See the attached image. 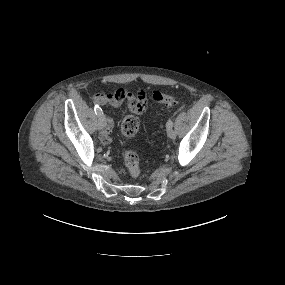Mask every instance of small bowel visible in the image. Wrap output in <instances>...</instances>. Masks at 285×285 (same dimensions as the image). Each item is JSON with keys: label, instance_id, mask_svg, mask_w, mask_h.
Listing matches in <instances>:
<instances>
[{"label": "small bowel", "instance_id": "small-bowel-1", "mask_svg": "<svg viewBox=\"0 0 285 285\" xmlns=\"http://www.w3.org/2000/svg\"><path fill=\"white\" fill-rule=\"evenodd\" d=\"M93 100L101 106L119 107L125 103L131 112L138 115L143 114L147 107V95L144 90H139L136 94L127 89H118L115 92H99L93 96ZM113 125V120L107 117L106 128L101 134L103 143L110 142V133ZM120 172L124 173V170H120Z\"/></svg>", "mask_w": 285, "mask_h": 285}]
</instances>
